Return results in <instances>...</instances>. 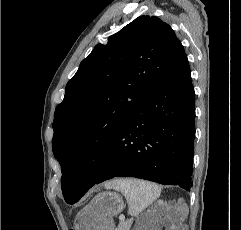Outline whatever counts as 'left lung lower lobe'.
I'll return each mask as SVG.
<instances>
[{"instance_id": "left-lung-lower-lobe-1", "label": "left lung lower lobe", "mask_w": 241, "mask_h": 230, "mask_svg": "<svg viewBox=\"0 0 241 230\" xmlns=\"http://www.w3.org/2000/svg\"><path fill=\"white\" fill-rule=\"evenodd\" d=\"M194 120L195 92L185 54L136 107L118 135L79 163L77 182L83 187L79 199L93 185L114 177H137L190 191Z\"/></svg>"}]
</instances>
